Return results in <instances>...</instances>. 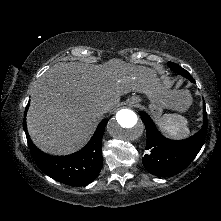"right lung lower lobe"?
Instances as JSON below:
<instances>
[{
	"label": "right lung lower lobe",
	"instance_id": "1",
	"mask_svg": "<svg viewBox=\"0 0 221 221\" xmlns=\"http://www.w3.org/2000/svg\"><path fill=\"white\" fill-rule=\"evenodd\" d=\"M25 109L24 130L31 155L39 168L51 178L71 186H82L92 182L102 168L101 143L107 120L98 125L89 143L80 151L68 156H50L40 151L31 141L26 127Z\"/></svg>",
	"mask_w": 221,
	"mask_h": 221
}]
</instances>
